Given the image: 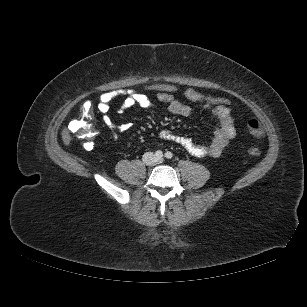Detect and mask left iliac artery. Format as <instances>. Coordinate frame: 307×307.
<instances>
[{
  "mask_svg": "<svg viewBox=\"0 0 307 307\" xmlns=\"http://www.w3.org/2000/svg\"><path fill=\"white\" fill-rule=\"evenodd\" d=\"M165 157L167 159H171L173 157V154L170 151H168V152L165 153Z\"/></svg>",
  "mask_w": 307,
  "mask_h": 307,
  "instance_id": "left-iliac-artery-1",
  "label": "left iliac artery"
}]
</instances>
